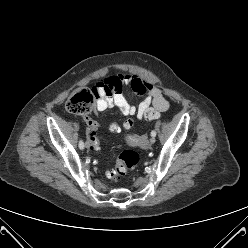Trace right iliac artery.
<instances>
[{"instance_id": "1", "label": "right iliac artery", "mask_w": 248, "mask_h": 248, "mask_svg": "<svg viewBox=\"0 0 248 248\" xmlns=\"http://www.w3.org/2000/svg\"><path fill=\"white\" fill-rule=\"evenodd\" d=\"M79 148L80 149L84 148V142L82 140L79 141Z\"/></svg>"}]
</instances>
